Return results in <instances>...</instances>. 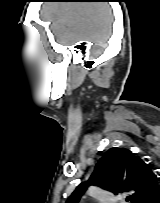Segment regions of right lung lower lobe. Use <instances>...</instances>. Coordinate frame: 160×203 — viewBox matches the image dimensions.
Segmentation results:
<instances>
[{"mask_svg":"<svg viewBox=\"0 0 160 203\" xmlns=\"http://www.w3.org/2000/svg\"><path fill=\"white\" fill-rule=\"evenodd\" d=\"M147 203H160V192Z\"/></svg>","mask_w":160,"mask_h":203,"instance_id":"98d812e1","label":"right lung lower lobe"}]
</instances>
